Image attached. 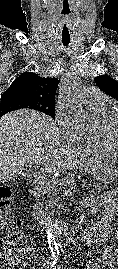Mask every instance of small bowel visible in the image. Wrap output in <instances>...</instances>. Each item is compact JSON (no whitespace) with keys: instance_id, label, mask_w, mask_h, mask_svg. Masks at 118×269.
<instances>
[{"instance_id":"small-bowel-1","label":"small bowel","mask_w":118,"mask_h":269,"mask_svg":"<svg viewBox=\"0 0 118 269\" xmlns=\"http://www.w3.org/2000/svg\"><path fill=\"white\" fill-rule=\"evenodd\" d=\"M94 210L95 212L99 211V209ZM115 217H118V204L115 198L112 197V199L109 198L104 202L103 212L96 216L92 225L80 237V242L85 246H101L102 260L105 265L111 268L118 266V249L113 250L107 244L109 223ZM115 239L118 242V232ZM89 264L92 263L89 262Z\"/></svg>"}]
</instances>
